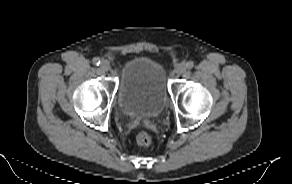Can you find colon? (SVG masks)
<instances>
[{"instance_id":"obj_1","label":"colon","mask_w":292,"mask_h":184,"mask_svg":"<svg viewBox=\"0 0 292 184\" xmlns=\"http://www.w3.org/2000/svg\"><path fill=\"white\" fill-rule=\"evenodd\" d=\"M137 144L140 146H149L152 143L151 135L146 131H140L136 135Z\"/></svg>"}]
</instances>
